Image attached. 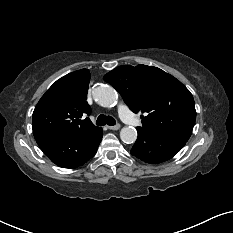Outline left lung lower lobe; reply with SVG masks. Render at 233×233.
I'll return each instance as SVG.
<instances>
[{"instance_id": "1", "label": "left lung lower lobe", "mask_w": 233, "mask_h": 233, "mask_svg": "<svg viewBox=\"0 0 233 233\" xmlns=\"http://www.w3.org/2000/svg\"><path fill=\"white\" fill-rule=\"evenodd\" d=\"M138 138L131 149V154L146 163H161L176 155L187 141L157 135L137 128Z\"/></svg>"}]
</instances>
